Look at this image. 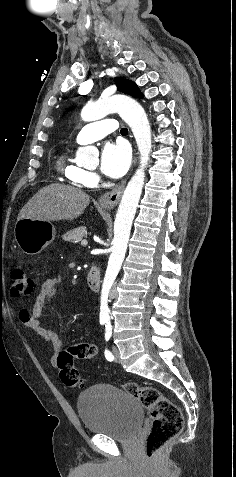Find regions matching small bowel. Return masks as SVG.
<instances>
[{"instance_id":"small-bowel-1","label":"small bowel","mask_w":236,"mask_h":477,"mask_svg":"<svg viewBox=\"0 0 236 477\" xmlns=\"http://www.w3.org/2000/svg\"><path fill=\"white\" fill-rule=\"evenodd\" d=\"M60 282L61 279L58 276L47 279L35 297L30 310L24 309L21 312V318L25 326L34 330L51 347L52 355L50 357V363L54 367L57 366L58 352L62 348V342L58 334L53 329L42 326L41 317L46 307L53 301ZM96 352V347L91 344L92 356H94Z\"/></svg>"}]
</instances>
